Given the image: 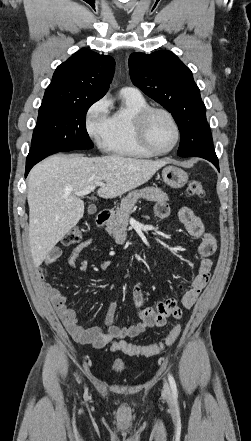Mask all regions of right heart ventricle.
I'll list each match as a JSON object with an SVG mask.
<instances>
[{
	"label": "right heart ventricle",
	"instance_id": "1",
	"mask_svg": "<svg viewBox=\"0 0 251 441\" xmlns=\"http://www.w3.org/2000/svg\"><path fill=\"white\" fill-rule=\"evenodd\" d=\"M121 104L109 117L105 149L115 155L147 158L148 152L139 142L136 133V117L149 103L139 91L122 90Z\"/></svg>",
	"mask_w": 251,
	"mask_h": 441
}]
</instances>
